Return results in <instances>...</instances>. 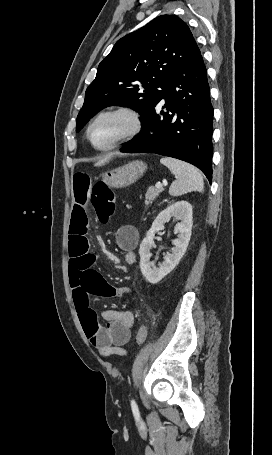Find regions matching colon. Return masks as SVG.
<instances>
[{
	"mask_svg": "<svg viewBox=\"0 0 272 455\" xmlns=\"http://www.w3.org/2000/svg\"><path fill=\"white\" fill-rule=\"evenodd\" d=\"M90 201L98 220L103 224L109 222L115 211V196L103 181H98L93 186ZM146 337L147 328L141 326L136 335L137 344L142 345ZM122 355L125 353L122 352Z\"/></svg>",
	"mask_w": 272,
	"mask_h": 455,
	"instance_id": "1",
	"label": "colon"
}]
</instances>
